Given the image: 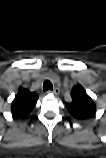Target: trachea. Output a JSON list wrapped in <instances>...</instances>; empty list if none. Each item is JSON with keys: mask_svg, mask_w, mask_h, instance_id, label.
<instances>
[{"mask_svg": "<svg viewBox=\"0 0 106 158\" xmlns=\"http://www.w3.org/2000/svg\"><path fill=\"white\" fill-rule=\"evenodd\" d=\"M43 90L48 91V90H53V85L49 80H45L43 83Z\"/></svg>", "mask_w": 106, "mask_h": 158, "instance_id": "3493384b", "label": "trachea"}]
</instances>
